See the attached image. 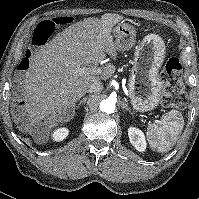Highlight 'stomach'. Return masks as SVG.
Segmentation results:
<instances>
[{
  "label": "stomach",
  "instance_id": "1",
  "mask_svg": "<svg viewBox=\"0 0 199 199\" xmlns=\"http://www.w3.org/2000/svg\"><path fill=\"white\" fill-rule=\"evenodd\" d=\"M115 47L130 50L136 42L134 26L121 22L113 30ZM165 44L157 34H148L137 42L129 77V95L133 108L139 112L151 111L162 98L163 82L159 75L165 58Z\"/></svg>",
  "mask_w": 199,
  "mask_h": 199
}]
</instances>
